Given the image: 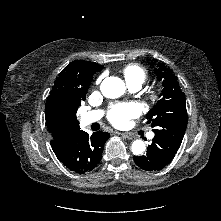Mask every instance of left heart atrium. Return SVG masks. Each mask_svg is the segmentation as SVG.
Masks as SVG:
<instances>
[{"label": "left heart atrium", "mask_w": 221, "mask_h": 221, "mask_svg": "<svg viewBox=\"0 0 221 221\" xmlns=\"http://www.w3.org/2000/svg\"><path fill=\"white\" fill-rule=\"evenodd\" d=\"M140 108L136 103L120 104L109 113V121L116 127L125 126L131 118L137 117Z\"/></svg>", "instance_id": "39dd6f15"}]
</instances>
